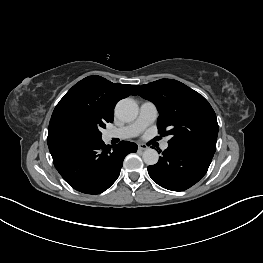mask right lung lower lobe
<instances>
[{
    "label": "right lung lower lobe",
    "instance_id": "98d812e1",
    "mask_svg": "<svg viewBox=\"0 0 263 263\" xmlns=\"http://www.w3.org/2000/svg\"><path fill=\"white\" fill-rule=\"evenodd\" d=\"M137 145L121 141L111 148L101 140L65 145L50 151L53 163L63 179L75 190L100 194L119 177L126 155Z\"/></svg>",
    "mask_w": 263,
    "mask_h": 263
}]
</instances>
